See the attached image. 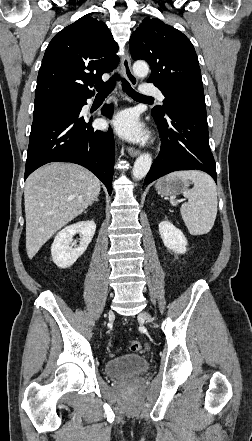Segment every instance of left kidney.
Wrapping results in <instances>:
<instances>
[{
  "instance_id": "obj_1",
  "label": "left kidney",
  "mask_w": 252,
  "mask_h": 441,
  "mask_svg": "<svg viewBox=\"0 0 252 441\" xmlns=\"http://www.w3.org/2000/svg\"><path fill=\"white\" fill-rule=\"evenodd\" d=\"M159 232L166 248L178 254L186 252L187 240L182 231L176 228L171 222L168 220L160 222Z\"/></svg>"
}]
</instances>
